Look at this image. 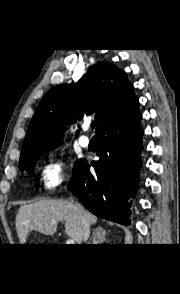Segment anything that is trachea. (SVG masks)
Returning <instances> with one entry per match:
<instances>
[{
  "label": "trachea",
  "instance_id": "3493384b",
  "mask_svg": "<svg viewBox=\"0 0 180 294\" xmlns=\"http://www.w3.org/2000/svg\"><path fill=\"white\" fill-rule=\"evenodd\" d=\"M95 126H96V123L95 122L91 124L92 130L95 128Z\"/></svg>",
  "mask_w": 180,
  "mask_h": 294
}]
</instances>
